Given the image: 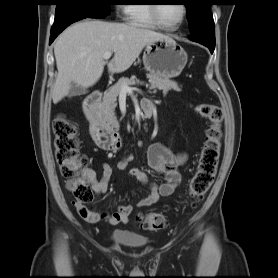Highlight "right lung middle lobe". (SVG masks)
Here are the masks:
<instances>
[{"label":"right lung middle lobe","mask_w":278,"mask_h":278,"mask_svg":"<svg viewBox=\"0 0 278 278\" xmlns=\"http://www.w3.org/2000/svg\"><path fill=\"white\" fill-rule=\"evenodd\" d=\"M112 0H55L56 12L53 26L79 17L105 18L110 14Z\"/></svg>","instance_id":"1"}]
</instances>
